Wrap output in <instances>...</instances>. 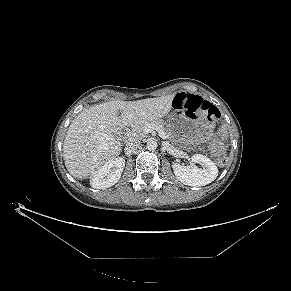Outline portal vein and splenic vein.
Segmentation results:
<instances>
[{
  "mask_svg": "<svg viewBox=\"0 0 291 291\" xmlns=\"http://www.w3.org/2000/svg\"><path fill=\"white\" fill-rule=\"evenodd\" d=\"M146 132H151L153 130H156L158 132V134L160 135L161 138L166 139L168 138V135L159 127H156L155 125H147L144 129ZM106 138H108V136L105 135Z\"/></svg>",
  "mask_w": 291,
  "mask_h": 291,
  "instance_id": "1",
  "label": "portal vein and splenic vein"
}]
</instances>
